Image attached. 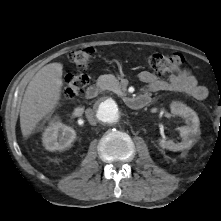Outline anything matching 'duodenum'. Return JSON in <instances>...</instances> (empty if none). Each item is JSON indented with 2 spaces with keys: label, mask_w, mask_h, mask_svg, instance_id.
<instances>
[{
  "label": "duodenum",
  "mask_w": 221,
  "mask_h": 221,
  "mask_svg": "<svg viewBox=\"0 0 221 221\" xmlns=\"http://www.w3.org/2000/svg\"><path fill=\"white\" fill-rule=\"evenodd\" d=\"M99 91L100 86L98 84H93L87 88L86 97L88 99H93L98 95ZM150 101L151 97L147 94L126 98L127 104L133 109H140L148 105Z\"/></svg>",
  "instance_id": "duodenum-1"
}]
</instances>
